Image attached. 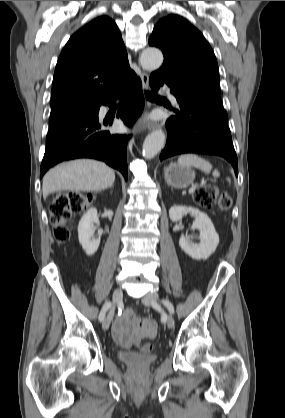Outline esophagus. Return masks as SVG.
<instances>
[{
  "label": "esophagus",
  "instance_id": "34e87169",
  "mask_svg": "<svg viewBox=\"0 0 285 418\" xmlns=\"http://www.w3.org/2000/svg\"><path fill=\"white\" fill-rule=\"evenodd\" d=\"M141 81H142V85L144 89H148V85H149V75L147 72L143 71L140 75ZM161 126L158 123H153V122H148L145 125H138L136 127V131H142V130H154L157 128H160Z\"/></svg>",
  "mask_w": 285,
  "mask_h": 418
}]
</instances>
